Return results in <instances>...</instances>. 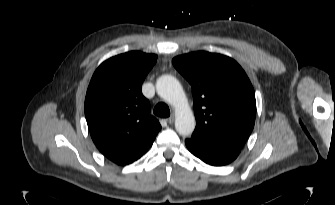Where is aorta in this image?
Wrapping results in <instances>:
<instances>
[{
	"instance_id": "aorta-1",
	"label": "aorta",
	"mask_w": 335,
	"mask_h": 205,
	"mask_svg": "<svg viewBox=\"0 0 335 205\" xmlns=\"http://www.w3.org/2000/svg\"><path fill=\"white\" fill-rule=\"evenodd\" d=\"M156 91L173 106L176 131L182 136L191 135L195 129V117L180 82L171 75H163L156 82Z\"/></svg>"
}]
</instances>
